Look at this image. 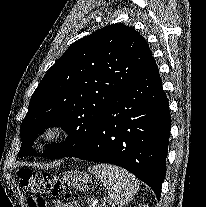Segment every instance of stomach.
<instances>
[{"mask_svg":"<svg viewBox=\"0 0 206 207\" xmlns=\"http://www.w3.org/2000/svg\"><path fill=\"white\" fill-rule=\"evenodd\" d=\"M63 181L67 182V184L77 190H85L88 189L92 184V179L90 176L83 171L71 170L67 171L63 174Z\"/></svg>","mask_w":206,"mask_h":207,"instance_id":"0dacf381","label":"stomach"}]
</instances>
